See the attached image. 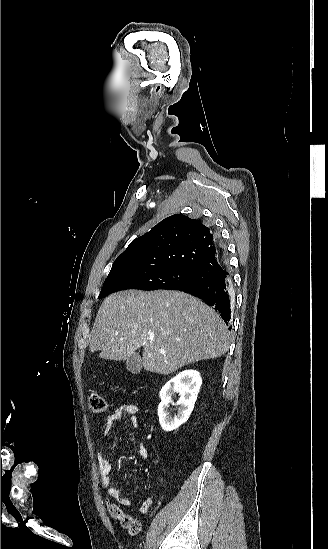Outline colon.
I'll return each instance as SVG.
<instances>
[{
    "instance_id": "obj_1",
    "label": "colon",
    "mask_w": 328,
    "mask_h": 549,
    "mask_svg": "<svg viewBox=\"0 0 328 549\" xmlns=\"http://www.w3.org/2000/svg\"><path fill=\"white\" fill-rule=\"evenodd\" d=\"M88 405L90 410L95 413L104 412L107 408V402L104 396L97 390L90 393ZM106 507L110 516L118 521L128 533L135 535L140 531V522L133 516L126 514L118 504L108 500L106 502Z\"/></svg>"
}]
</instances>
